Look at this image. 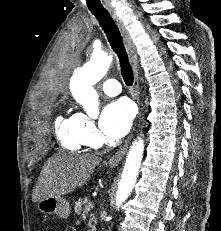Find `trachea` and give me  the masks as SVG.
<instances>
[{
  "instance_id": "obj_1",
  "label": "trachea",
  "mask_w": 221,
  "mask_h": 231,
  "mask_svg": "<svg viewBox=\"0 0 221 231\" xmlns=\"http://www.w3.org/2000/svg\"><path fill=\"white\" fill-rule=\"evenodd\" d=\"M96 17L100 26L104 30L110 46L117 54L121 67V74L127 86L133 84L134 76L133 70L128 60V55L122 42L120 31L114 21L111 19L110 14L106 10L91 11Z\"/></svg>"
}]
</instances>
